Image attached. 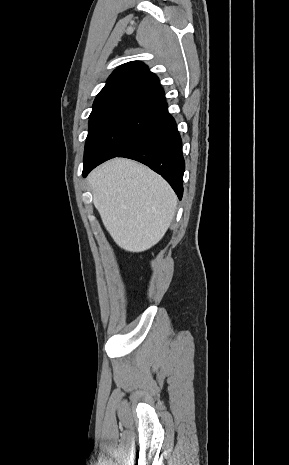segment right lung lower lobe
Listing matches in <instances>:
<instances>
[{
	"label": "right lung lower lobe",
	"instance_id": "obj_1",
	"mask_svg": "<svg viewBox=\"0 0 289 465\" xmlns=\"http://www.w3.org/2000/svg\"><path fill=\"white\" fill-rule=\"evenodd\" d=\"M164 107L163 114L117 157L134 159L149 166L171 185L181 200L185 170L182 140L167 104ZM104 161H85L83 176Z\"/></svg>",
	"mask_w": 289,
	"mask_h": 465
}]
</instances>
